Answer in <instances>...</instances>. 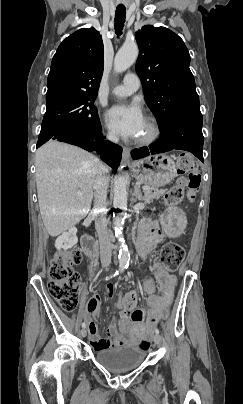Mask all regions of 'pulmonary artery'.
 I'll return each instance as SVG.
<instances>
[{
	"label": "pulmonary artery",
	"instance_id": "1",
	"mask_svg": "<svg viewBox=\"0 0 243 404\" xmlns=\"http://www.w3.org/2000/svg\"><path fill=\"white\" fill-rule=\"evenodd\" d=\"M125 51H118L117 53V64L118 65H122L124 63V59H123V54ZM140 87V78L134 74V73H127L123 80L122 83L118 86H116L113 89V93L116 96H128L132 93H134L135 91H137Z\"/></svg>",
	"mask_w": 243,
	"mask_h": 404
}]
</instances>
